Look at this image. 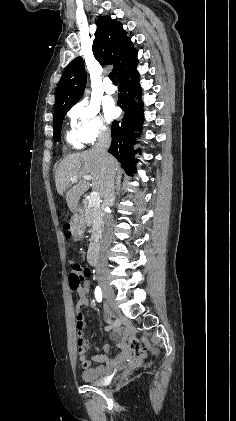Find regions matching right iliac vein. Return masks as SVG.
I'll return each mask as SVG.
<instances>
[{"instance_id": "63e3f726", "label": "right iliac vein", "mask_w": 236, "mask_h": 421, "mask_svg": "<svg viewBox=\"0 0 236 421\" xmlns=\"http://www.w3.org/2000/svg\"><path fill=\"white\" fill-rule=\"evenodd\" d=\"M99 282H100V285L102 287V292H103L104 297L108 300H114L115 293L112 289L108 288L107 280L106 279H100Z\"/></svg>"}]
</instances>
